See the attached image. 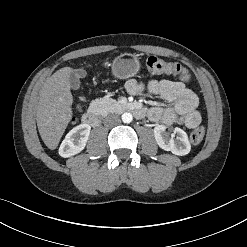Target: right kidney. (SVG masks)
<instances>
[{"instance_id":"obj_1","label":"right kidney","mask_w":247,"mask_h":247,"mask_svg":"<svg viewBox=\"0 0 247 247\" xmlns=\"http://www.w3.org/2000/svg\"><path fill=\"white\" fill-rule=\"evenodd\" d=\"M90 130L91 126L88 124H80L74 127L62 141L59 155L68 158L80 153L86 146Z\"/></svg>"}]
</instances>
